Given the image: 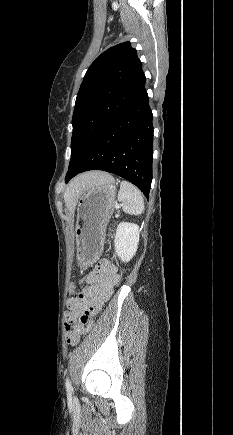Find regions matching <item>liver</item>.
<instances>
[{
	"label": "liver",
	"instance_id": "6515ba94",
	"mask_svg": "<svg viewBox=\"0 0 233 435\" xmlns=\"http://www.w3.org/2000/svg\"><path fill=\"white\" fill-rule=\"evenodd\" d=\"M109 174L105 172H87L74 178L64 192V201L70 212H73L80 195L87 189L103 182Z\"/></svg>",
	"mask_w": 233,
	"mask_h": 435
}]
</instances>
